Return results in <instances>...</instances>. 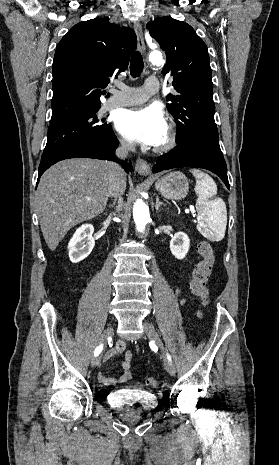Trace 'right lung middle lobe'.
<instances>
[{
	"instance_id": "obj_1",
	"label": "right lung middle lobe",
	"mask_w": 279,
	"mask_h": 465,
	"mask_svg": "<svg viewBox=\"0 0 279 465\" xmlns=\"http://www.w3.org/2000/svg\"><path fill=\"white\" fill-rule=\"evenodd\" d=\"M99 108L84 112L48 128L47 144L41 160L50 157L58 150L82 139H102L113 134L111 125L96 116Z\"/></svg>"
}]
</instances>
